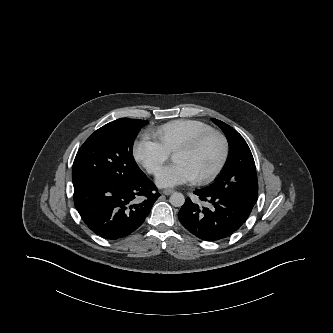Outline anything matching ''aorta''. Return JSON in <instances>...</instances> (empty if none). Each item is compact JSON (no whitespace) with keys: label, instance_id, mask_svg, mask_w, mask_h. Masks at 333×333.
<instances>
[{"label":"aorta","instance_id":"aorta-1","mask_svg":"<svg viewBox=\"0 0 333 333\" xmlns=\"http://www.w3.org/2000/svg\"><path fill=\"white\" fill-rule=\"evenodd\" d=\"M169 201H170L172 206L181 207L185 202V198H184V195L182 193L175 192L170 196Z\"/></svg>","mask_w":333,"mask_h":333}]
</instances>
